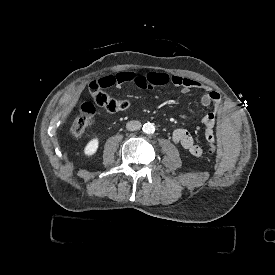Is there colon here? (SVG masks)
Here are the masks:
<instances>
[{
    "instance_id": "obj_1",
    "label": "colon",
    "mask_w": 275,
    "mask_h": 275,
    "mask_svg": "<svg viewBox=\"0 0 275 275\" xmlns=\"http://www.w3.org/2000/svg\"><path fill=\"white\" fill-rule=\"evenodd\" d=\"M89 85L92 86V95L97 96V99L101 101L103 109L110 112H118L125 111L129 108L130 102L128 100L116 99L103 91L97 90L95 87V79H90ZM98 89H101V86H98ZM93 105V101H87L80 106L78 115L71 125V133L73 135H81L85 133L88 127L92 124L96 114V110L93 108ZM208 151L211 156H216L218 154V149L215 144H210L208 146Z\"/></svg>"
}]
</instances>
